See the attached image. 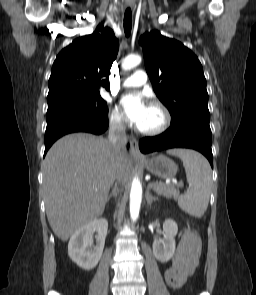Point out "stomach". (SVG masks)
Listing matches in <instances>:
<instances>
[{
	"label": "stomach",
	"instance_id": "1",
	"mask_svg": "<svg viewBox=\"0 0 256 295\" xmlns=\"http://www.w3.org/2000/svg\"><path fill=\"white\" fill-rule=\"evenodd\" d=\"M143 164L150 173L162 179L172 178L178 171L177 164L162 154L145 159Z\"/></svg>",
	"mask_w": 256,
	"mask_h": 295
}]
</instances>
